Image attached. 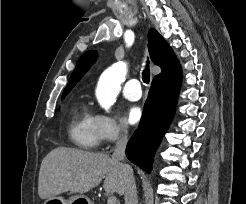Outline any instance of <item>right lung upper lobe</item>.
Segmentation results:
<instances>
[{"label":"right lung upper lobe","instance_id":"1","mask_svg":"<svg viewBox=\"0 0 246 204\" xmlns=\"http://www.w3.org/2000/svg\"><path fill=\"white\" fill-rule=\"evenodd\" d=\"M148 40L150 57L155 64L161 67V74H165L175 68L180 67L172 49L156 30H149ZM96 56L97 52L93 50L88 51L81 56L74 71L70 76V80L63 92L62 97L66 96L70 92V90L75 86L77 81H79L83 77V75L88 71L90 66L94 63Z\"/></svg>","mask_w":246,"mask_h":204}]
</instances>
